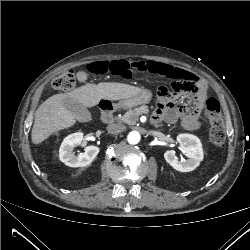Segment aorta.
<instances>
[{"label": "aorta", "instance_id": "obj_1", "mask_svg": "<svg viewBox=\"0 0 250 250\" xmlns=\"http://www.w3.org/2000/svg\"><path fill=\"white\" fill-rule=\"evenodd\" d=\"M127 139L130 144H137L140 141V134L137 131H132L128 134Z\"/></svg>", "mask_w": 250, "mask_h": 250}]
</instances>
